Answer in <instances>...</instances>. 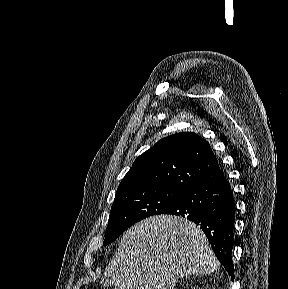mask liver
Listing matches in <instances>:
<instances>
[{
  "label": "liver",
  "instance_id": "1",
  "mask_svg": "<svg viewBox=\"0 0 288 289\" xmlns=\"http://www.w3.org/2000/svg\"><path fill=\"white\" fill-rule=\"evenodd\" d=\"M218 267L199 226L162 214L124 233L102 280L114 289H168L179 278L210 274Z\"/></svg>",
  "mask_w": 288,
  "mask_h": 289
}]
</instances>
